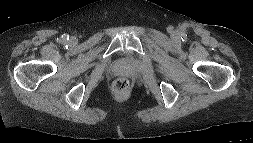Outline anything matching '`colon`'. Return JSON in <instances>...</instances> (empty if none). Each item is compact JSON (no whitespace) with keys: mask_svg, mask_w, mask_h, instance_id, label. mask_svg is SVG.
I'll list each match as a JSON object with an SVG mask.
<instances>
[{"mask_svg":"<svg viewBox=\"0 0 253 143\" xmlns=\"http://www.w3.org/2000/svg\"><path fill=\"white\" fill-rule=\"evenodd\" d=\"M129 86L130 83L125 77H119L113 82V89L116 92H124L129 88Z\"/></svg>","mask_w":253,"mask_h":143,"instance_id":"1","label":"colon"}]
</instances>
